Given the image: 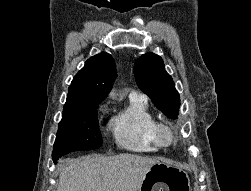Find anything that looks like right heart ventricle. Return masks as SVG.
<instances>
[{"label": "right heart ventricle", "mask_w": 251, "mask_h": 191, "mask_svg": "<svg viewBox=\"0 0 251 191\" xmlns=\"http://www.w3.org/2000/svg\"><path fill=\"white\" fill-rule=\"evenodd\" d=\"M155 119L145 97H130L125 110L111 123L116 146L121 150L142 155L158 153L159 150L151 136V128Z\"/></svg>", "instance_id": "1"}]
</instances>
